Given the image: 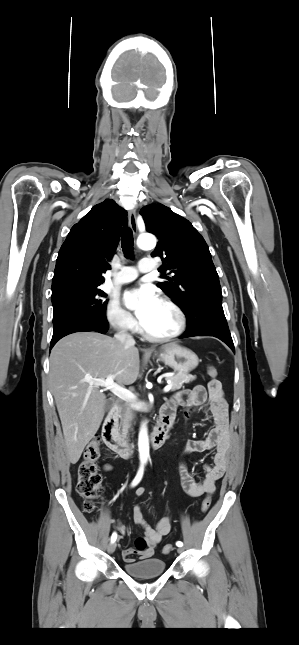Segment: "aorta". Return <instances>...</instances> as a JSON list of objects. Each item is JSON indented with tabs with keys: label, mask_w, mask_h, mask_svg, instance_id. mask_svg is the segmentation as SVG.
Masks as SVG:
<instances>
[{
	"label": "aorta",
	"mask_w": 299,
	"mask_h": 645,
	"mask_svg": "<svg viewBox=\"0 0 299 645\" xmlns=\"http://www.w3.org/2000/svg\"><path fill=\"white\" fill-rule=\"evenodd\" d=\"M137 244H138V247L143 250H150L155 248L156 238L153 235L144 234L138 237ZM138 449H139L140 460L142 463H145L149 456V440H148L147 429L145 426H142L139 432Z\"/></svg>",
	"instance_id": "762f6f07"
}]
</instances>
